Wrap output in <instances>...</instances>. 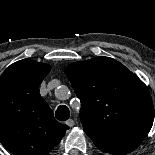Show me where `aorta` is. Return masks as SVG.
Masks as SVG:
<instances>
[{"label":"aorta","instance_id":"1","mask_svg":"<svg viewBox=\"0 0 155 155\" xmlns=\"http://www.w3.org/2000/svg\"><path fill=\"white\" fill-rule=\"evenodd\" d=\"M61 89H64V91H66V90H67V88H66V87H61Z\"/></svg>","mask_w":155,"mask_h":155}]
</instances>
